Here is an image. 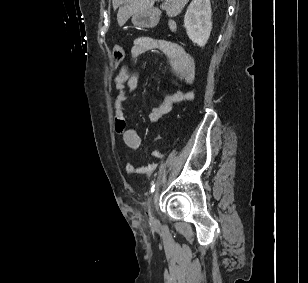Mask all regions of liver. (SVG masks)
<instances>
[{
	"label": "liver",
	"instance_id": "6515ba94",
	"mask_svg": "<svg viewBox=\"0 0 308 283\" xmlns=\"http://www.w3.org/2000/svg\"><path fill=\"white\" fill-rule=\"evenodd\" d=\"M156 0H112L113 7L118 8L117 21L119 26H123L132 16L140 12H147L153 8ZM189 0H165L161 8L169 16H177Z\"/></svg>",
	"mask_w": 308,
	"mask_h": 283
}]
</instances>
